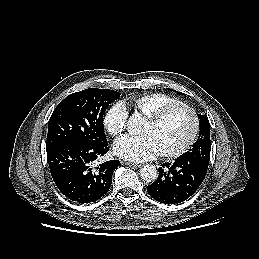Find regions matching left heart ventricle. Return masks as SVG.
I'll return each instance as SVG.
<instances>
[{
  "mask_svg": "<svg viewBox=\"0 0 259 259\" xmlns=\"http://www.w3.org/2000/svg\"><path fill=\"white\" fill-rule=\"evenodd\" d=\"M192 117L185 109H179L158 125L144 124L141 133L152 137L158 151H169L179 147L191 133Z\"/></svg>",
  "mask_w": 259,
  "mask_h": 259,
  "instance_id": "left-heart-ventricle-1",
  "label": "left heart ventricle"
}]
</instances>
